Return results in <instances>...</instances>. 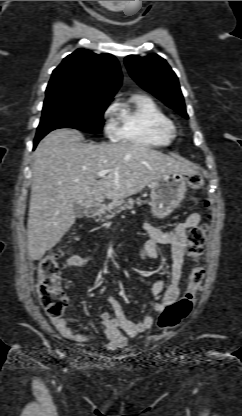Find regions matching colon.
Segmentation results:
<instances>
[{
    "mask_svg": "<svg viewBox=\"0 0 242 416\" xmlns=\"http://www.w3.org/2000/svg\"><path fill=\"white\" fill-rule=\"evenodd\" d=\"M188 182L191 187L198 188L202 185V177L198 174L191 175ZM206 231L205 224H197L189 230L187 255L192 260V267L188 286L177 301L167 305L161 312L158 319L160 329H169L179 324L195 305L204 277V269L199 264V260L204 251ZM59 258V252H49L39 260L37 268L36 291L39 303L46 314L53 318L62 316L67 303L58 273Z\"/></svg>",
    "mask_w": 242,
    "mask_h": 416,
    "instance_id": "5ec220e1",
    "label": "colon"
}]
</instances>
